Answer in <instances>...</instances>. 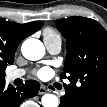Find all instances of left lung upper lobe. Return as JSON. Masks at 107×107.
Instances as JSON below:
<instances>
[{"mask_svg":"<svg viewBox=\"0 0 107 107\" xmlns=\"http://www.w3.org/2000/svg\"><path fill=\"white\" fill-rule=\"evenodd\" d=\"M56 25L67 39V56L61 79L77 96L96 87L107 88V32L95 20L84 17L59 19Z\"/></svg>","mask_w":107,"mask_h":107,"instance_id":"obj_1","label":"left lung upper lobe"}]
</instances>
